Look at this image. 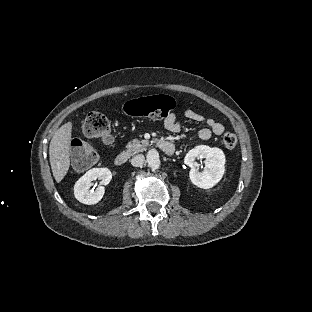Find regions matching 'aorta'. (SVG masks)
I'll return each mask as SVG.
<instances>
[{
  "instance_id": "obj_1",
  "label": "aorta",
  "mask_w": 312,
  "mask_h": 312,
  "mask_svg": "<svg viewBox=\"0 0 312 312\" xmlns=\"http://www.w3.org/2000/svg\"><path fill=\"white\" fill-rule=\"evenodd\" d=\"M148 165L152 168H158L160 165L159 154L155 149L149 150L147 154Z\"/></svg>"
}]
</instances>
